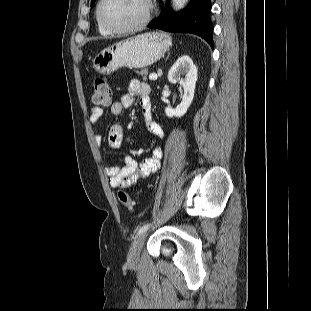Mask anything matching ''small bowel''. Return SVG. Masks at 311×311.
<instances>
[{"label": "small bowel", "mask_w": 311, "mask_h": 311, "mask_svg": "<svg viewBox=\"0 0 311 311\" xmlns=\"http://www.w3.org/2000/svg\"><path fill=\"white\" fill-rule=\"evenodd\" d=\"M151 89L147 83L137 79H132L128 85V91L123 94L119 101L110 104V111L113 115L118 116L127 108H130L136 98H139L140 106L143 110L146 128L149 132L158 138H164L165 132L161 125L152 120ZM103 108L94 106L88 114V121L92 127L96 126L103 116ZM94 140L97 145L101 144L102 137L98 132H94ZM123 141V128L120 124L115 123L110 126L108 131V145L112 149H118ZM163 151L160 147L154 148L152 156L146 158L141 163L130 155L123 157V165L108 166L105 169L108 177V183L112 188H130L139 180L157 172L161 166Z\"/></svg>", "instance_id": "small-bowel-1"}]
</instances>
